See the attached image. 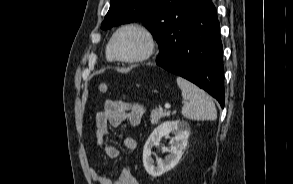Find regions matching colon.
Listing matches in <instances>:
<instances>
[{
  "instance_id": "obj_1",
  "label": "colon",
  "mask_w": 293,
  "mask_h": 184,
  "mask_svg": "<svg viewBox=\"0 0 293 184\" xmlns=\"http://www.w3.org/2000/svg\"><path fill=\"white\" fill-rule=\"evenodd\" d=\"M97 89L101 94H107L109 92V87L105 83H100Z\"/></svg>"
}]
</instances>
